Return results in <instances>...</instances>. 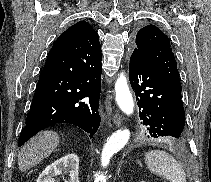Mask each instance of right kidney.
I'll use <instances>...</instances> for the list:
<instances>
[{
	"label": "right kidney",
	"mask_w": 211,
	"mask_h": 182,
	"mask_svg": "<svg viewBox=\"0 0 211 182\" xmlns=\"http://www.w3.org/2000/svg\"><path fill=\"white\" fill-rule=\"evenodd\" d=\"M79 157L76 154H67L50 165L39 175L37 182H56L57 176L67 175L64 182H80L78 176Z\"/></svg>",
	"instance_id": "ca27d5eb"
}]
</instances>
